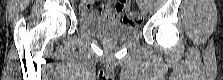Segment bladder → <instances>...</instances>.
<instances>
[{"label": "bladder", "instance_id": "obj_1", "mask_svg": "<svg viewBox=\"0 0 223 80\" xmlns=\"http://www.w3.org/2000/svg\"><path fill=\"white\" fill-rule=\"evenodd\" d=\"M79 25L88 34L104 41H126L138 34L136 26L99 17L81 16Z\"/></svg>", "mask_w": 223, "mask_h": 80}]
</instances>
